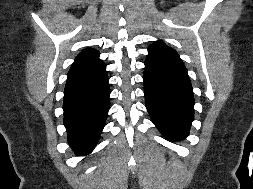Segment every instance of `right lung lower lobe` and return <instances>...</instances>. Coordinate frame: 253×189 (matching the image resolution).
<instances>
[{
    "mask_svg": "<svg viewBox=\"0 0 253 189\" xmlns=\"http://www.w3.org/2000/svg\"><path fill=\"white\" fill-rule=\"evenodd\" d=\"M109 95L106 73L87 81L67 80L63 124L77 155L89 154L98 142L109 110Z\"/></svg>",
    "mask_w": 253,
    "mask_h": 189,
    "instance_id": "obj_1",
    "label": "right lung lower lobe"
}]
</instances>
